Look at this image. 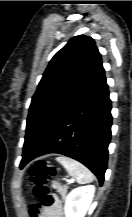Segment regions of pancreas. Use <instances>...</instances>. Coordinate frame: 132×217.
<instances>
[{
  "label": "pancreas",
  "mask_w": 132,
  "mask_h": 217,
  "mask_svg": "<svg viewBox=\"0 0 132 217\" xmlns=\"http://www.w3.org/2000/svg\"><path fill=\"white\" fill-rule=\"evenodd\" d=\"M67 186H64L63 188L59 189L58 192L61 194L62 198L65 199L66 198V194H67Z\"/></svg>",
  "instance_id": "pancreas-1"
}]
</instances>
